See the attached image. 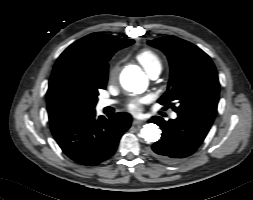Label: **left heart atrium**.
I'll list each match as a JSON object with an SVG mask.
<instances>
[{
	"label": "left heart atrium",
	"instance_id": "39dd6f15",
	"mask_svg": "<svg viewBox=\"0 0 253 200\" xmlns=\"http://www.w3.org/2000/svg\"><path fill=\"white\" fill-rule=\"evenodd\" d=\"M144 99H136L128 104V110L134 114H138L141 110V105Z\"/></svg>",
	"mask_w": 253,
	"mask_h": 200
}]
</instances>
